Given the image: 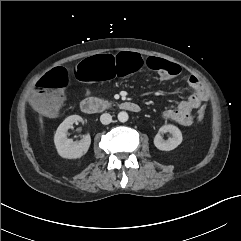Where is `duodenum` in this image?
Segmentation results:
<instances>
[{"instance_id": "1", "label": "duodenum", "mask_w": 241, "mask_h": 241, "mask_svg": "<svg viewBox=\"0 0 241 241\" xmlns=\"http://www.w3.org/2000/svg\"><path fill=\"white\" fill-rule=\"evenodd\" d=\"M114 106L135 113L140 111V107L134 102L125 101L112 104L95 97L85 98L80 104V108L85 114L101 113L111 109Z\"/></svg>"}]
</instances>
